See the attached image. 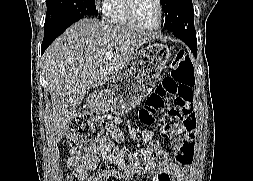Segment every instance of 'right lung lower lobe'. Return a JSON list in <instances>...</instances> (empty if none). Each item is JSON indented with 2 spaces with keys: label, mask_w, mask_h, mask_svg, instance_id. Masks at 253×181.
<instances>
[{
  "label": "right lung lower lobe",
  "mask_w": 253,
  "mask_h": 181,
  "mask_svg": "<svg viewBox=\"0 0 253 181\" xmlns=\"http://www.w3.org/2000/svg\"><path fill=\"white\" fill-rule=\"evenodd\" d=\"M78 20H80V18L74 19L63 26L58 27L57 29L44 32V39L41 46V54L44 53L46 48L54 41L55 38L61 35L70 25H72Z\"/></svg>",
  "instance_id": "obj_1"
}]
</instances>
